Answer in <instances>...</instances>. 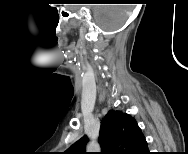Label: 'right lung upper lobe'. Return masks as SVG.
Here are the masks:
<instances>
[{
  "label": "right lung upper lobe",
  "mask_w": 188,
  "mask_h": 154,
  "mask_svg": "<svg viewBox=\"0 0 188 154\" xmlns=\"http://www.w3.org/2000/svg\"><path fill=\"white\" fill-rule=\"evenodd\" d=\"M102 154H144L147 142L136 120L119 110H110L101 121L98 139ZM85 135L67 149V154H86Z\"/></svg>",
  "instance_id": "cb5924a9"
}]
</instances>
